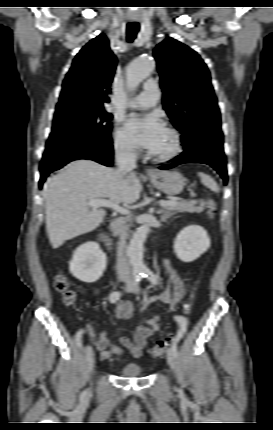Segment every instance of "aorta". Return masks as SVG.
<instances>
[{
  "label": "aorta",
  "instance_id": "obj_1",
  "mask_svg": "<svg viewBox=\"0 0 273 430\" xmlns=\"http://www.w3.org/2000/svg\"><path fill=\"white\" fill-rule=\"evenodd\" d=\"M154 69V61L149 56L133 60L127 70V84L134 89L139 83L150 76ZM150 231L148 224L140 226L133 234L126 250V255L134 273L147 271L143 261V245Z\"/></svg>",
  "mask_w": 273,
  "mask_h": 430
}]
</instances>
